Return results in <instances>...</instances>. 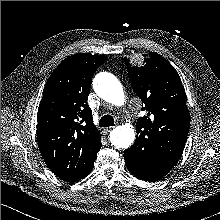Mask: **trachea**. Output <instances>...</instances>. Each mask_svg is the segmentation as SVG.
<instances>
[{
	"label": "trachea",
	"mask_w": 220,
	"mask_h": 220,
	"mask_svg": "<svg viewBox=\"0 0 220 220\" xmlns=\"http://www.w3.org/2000/svg\"><path fill=\"white\" fill-rule=\"evenodd\" d=\"M100 127L114 126V118L111 115H104L99 121Z\"/></svg>",
	"instance_id": "obj_1"
}]
</instances>
